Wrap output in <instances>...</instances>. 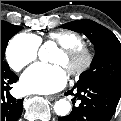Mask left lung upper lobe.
Segmentation results:
<instances>
[{
  "mask_svg": "<svg viewBox=\"0 0 121 121\" xmlns=\"http://www.w3.org/2000/svg\"><path fill=\"white\" fill-rule=\"evenodd\" d=\"M62 28L85 34L95 47L96 54L90 69L80 75L77 84L98 82L121 93V43L117 37L88 19L66 23Z\"/></svg>",
  "mask_w": 121,
  "mask_h": 121,
  "instance_id": "1",
  "label": "left lung upper lobe"
}]
</instances>
